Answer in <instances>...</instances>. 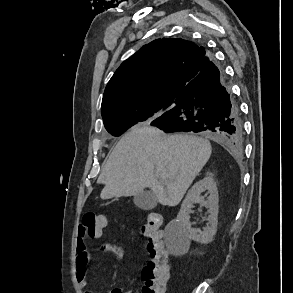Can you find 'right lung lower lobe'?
<instances>
[{"instance_id": "obj_1", "label": "right lung lower lobe", "mask_w": 293, "mask_h": 293, "mask_svg": "<svg viewBox=\"0 0 293 293\" xmlns=\"http://www.w3.org/2000/svg\"><path fill=\"white\" fill-rule=\"evenodd\" d=\"M151 125L167 133L203 132L238 151L243 144L239 107L213 59L178 94L175 106Z\"/></svg>"}]
</instances>
